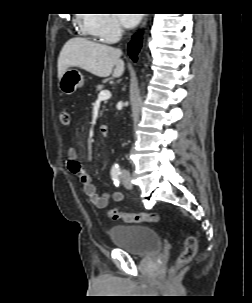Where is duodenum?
I'll use <instances>...</instances> for the list:
<instances>
[{
    "label": "duodenum",
    "mask_w": 252,
    "mask_h": 303,
    "mask_svg": "<svg viewBox=\"0 0 252 303\" xmlns=\"http://www.w3.org/2000/svg\"><path fill=\"white\" fill-rule=\"evenodd\" d=\"M109 132V127L108 125H102L100 128H99V133L101 136H106Z\"/></svg>",
    "instance_id": "1"
}]
</instances>
